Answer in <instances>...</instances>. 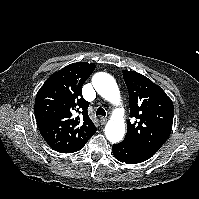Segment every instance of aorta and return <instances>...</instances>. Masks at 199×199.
Returning <instances> with one entry per match:
<instances>
[{
    "instance_id": "1",
    "label": "aorta",
    "mask_w": 199,
    "mask_h": 199,
    "mask_svg": "<svg viewBox=\"0 0 199 199\" xmlns=\"http://www.w3.org/2000/svg\"><path fill=\"white\" fill-rule=\"evenodd\" d=\"M92 84L99 95L105 100L113 103H120V91L115 79L108 73L98 72L92 78ZM125 134V123L121 113L116 112L105 126L106 138L117 143L121 141Z\"/></svg>"
}]
</instances>
